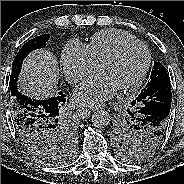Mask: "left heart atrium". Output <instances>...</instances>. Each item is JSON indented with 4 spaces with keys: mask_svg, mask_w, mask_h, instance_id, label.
Returning <instances> with one entry per match:
<instances>
[{
    "mask_svg": "<svg viewBox=\"0 0 184 184\" xmlns=\"http://www.w3.org/2000/svg\"><path fill=\"white\" fill-rule=\"evenodd\" d=\"M118 90L105 74L98 73L84 80L74 92V100L80 105L99 106L112 98Z\"/></svg>",
    "mask_w": 184,
    "mask_h": 184,
    "instance_id": "1",
    "label": "left heart atrium"
}]
</instances>
